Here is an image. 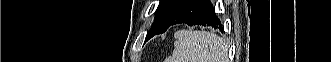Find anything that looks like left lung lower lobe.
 I'll list each match as a JSON object with an SVG mask.
<instances>
[{
    "instance_id": "1",
    "label": "left lung lower lobe",
    "mask_w": 331,
    "mask_h": 62,
    "mask_svg": "<svg viewBox=\"0 0 331 62\" xmlns=\"http://www.w3.org/2000/svg\"><path fill=\"white\" fill-rule=\"evenodd\" d=\"M186 23L192 25L212 26L222 30V25L209 0H186V2L171 16L161 33L169 27ZM153 35L147 34L146 40Z\"/></svg>"
}]
</instances>
